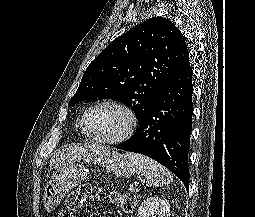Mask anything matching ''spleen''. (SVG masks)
Wrapping results in <instances>:
<instances>
[{
    "mask_svg": "<svg viewBox=\"0 0 255 217\" xmlns=\"http://www.w3.org/2000/svg\"><path fill=\"white\" fill-rule=\"evenodd\" d=\"M134 167L135 172L146 179L148 186H162L169 184L173 180V176L164 166L141 154L126 153Z\"/></svg>",
    "mask_w": 255,
    "mask_h": 217,
    "instance_id": "spleen-1",
    "label": "spleen"
}]
</instances>
